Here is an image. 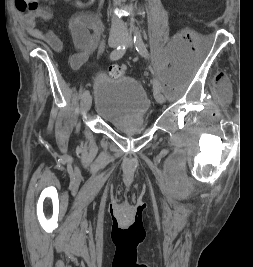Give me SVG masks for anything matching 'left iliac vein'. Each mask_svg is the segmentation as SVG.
Here are the masks:
<instances>
[{
    "instance_id": "obj_1",
    "label": "left iliac vein",
    "mask_w": 253,
    "mask_h": 267,
    "mask_svg": "<svg viewBox=\"0 0 253 267\" xmlns=\"http://www.w3.org/2000/svg\"><path fill=\"white\" fill-rule=\"evenodd\" d=\"M124 44L131 47L133 45V41L129 36H126L124 37ZM154 97L158 103H163L165 101L164 95L158 89H154Z\"/></svg>"
}]
</instances>
